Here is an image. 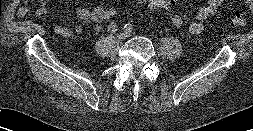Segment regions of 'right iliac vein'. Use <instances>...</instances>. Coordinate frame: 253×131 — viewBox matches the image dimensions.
I'll return each instance as SVG.
<instances>
[{"mask_svg":"<svg viewBox=\"0 0 253 131\" xmlns=\"http://www.w3.org/2000/svg\"><path fill=\"white\" fill-rule=\"evenodd\" d=\"M125 37H126L125 34L120 33V34H118L117 39H118L119 42H121V41L125 40Z\"/></svg>","mask_w":253,"mask_h":131,"instance_id":"right-iliac-vein-1","label":"right iliac vein"}]
</instances>
